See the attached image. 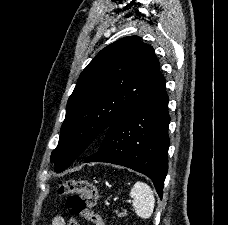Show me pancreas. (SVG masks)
Here are the masks:
<instances>
[{"instance_id": "pancreas-1", "label": "pancreas", "mask_w": 228, "mask_h": 225, "mask_svg": "<svg viewBox=\"0 0 228 225\" xmlns=\"http://www.w3.org/2000/svg\"><path fill=\"white\" fill-rule=\"evenodd\" d=\"M127 211L124 209V213H119V217H126Z\"/></svg>"}]
</instances>
